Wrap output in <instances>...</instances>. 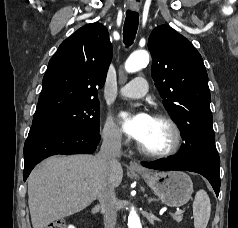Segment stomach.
I'll return each mask as SVG.
<instances>
[{
	"label": "stomach",
	"mask_w": 238,
	"mask_h": 228,
	"mask_svg": "<svg viewBox=\"0 0 238 228\" xmlns=\"http://www.w3.org/2000/svg\"><path fill=\"white\" fill-rule=\"evenodd\" d=\"M140 175L161 201L171 207L185 205L193 193L190 177L181 171L140 172Z\"/></svg>",
	"instance_id": "1"
}]
</instances>
